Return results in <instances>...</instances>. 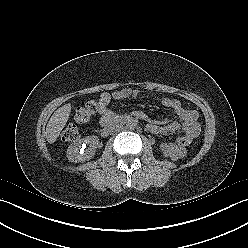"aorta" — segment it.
<instances>
[{"label": "aorta", "instance_id": "obj_1", "mask_svg": "<svg viewBox=\"0 0 248 248\" xmlns=\"http://www.w3.org/2000/svg\"><path fill=\"white\" fill-rule=\"evenodd\" d=\"M137 126V123L135 120H129L126 122V129L128 130H134Z\"/></svg>", "mask_w": 248, "mask_h": 248}]
</instances>
